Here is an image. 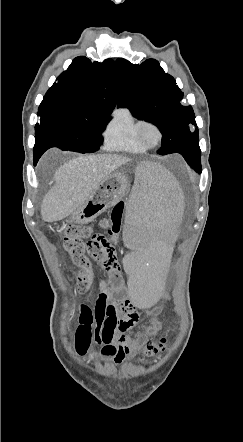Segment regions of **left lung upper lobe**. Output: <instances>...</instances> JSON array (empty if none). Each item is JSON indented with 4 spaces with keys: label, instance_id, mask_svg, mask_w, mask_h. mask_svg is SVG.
I'll return each mask as SVG.
<instances>
[{
    "label": "left lung upper lobe",
    "instance_id": "left-lung-upper-lobe-1",
    "mask_svg": "<svg viewBox=\"0 0 243 442\" xmlns=\"http://www.w3.org/2000/svg\"><path fill=\"white\" fill-rule=\"evenodd\" d=\"M120 89L118 107H128L138 119L152 122L163 134L162 147L158 154L179 153L184 158L200 149L198 129L191 106L182 104L183 93L175 79L164 72L155 59L142 64H132L117 59ZM196 171L201 170L199 161L189 164Z\"/></svg>",
    "mask_w": 243,
    "mask_h": 442
}]
</instances>
